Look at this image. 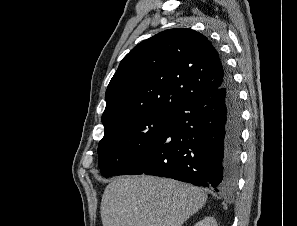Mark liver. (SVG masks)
I'll use <instances>...</instances> for the list:
<instances>
[{
    "label": "liver",
    "instance_id": "obj_1",
    "mask_svg": "<svg viewBox=\"0 0 297 226\" xmlns=\"http://www.w3.org/2000/svg\"><path fill=\"white\" fill-rule=\"evenodd\" d=\"M207 201L199 187L155 176L115 178L103 193V226H182Z\"/></svg>",
    "mask_w": 297,
    "mask_h": 226
}]
</instances>
